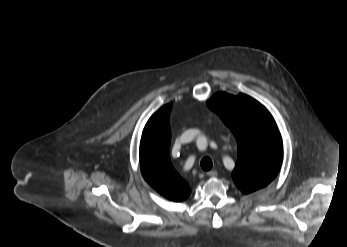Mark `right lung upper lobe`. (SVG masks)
Returning a JSON list of instances; mask_svg holds the SVG:
<instances>
[{"instance_id": "1", "label": "right lung upper lobe", "mask_w": 347, "mask_h": 247, "mask_svg": "<svg viewBox=\"0 0 347 247\" xmlns=\"http://www.w3.org/2000/svg\"><path fill=\"white\" fill-rule=\"evenodd\" d=\"M171 108L172 104L164 105L146 123L140 142V167L144 179L157 192L171 201L181 202L191 190L169 157Z\"/></svg>"}]
</instances>
